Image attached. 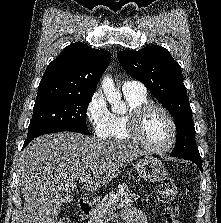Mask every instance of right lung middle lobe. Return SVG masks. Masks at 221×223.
I'll return each mask as SVG.
<instances>
[{
	"label": "right lung middle lobe",
	"mask_w": 221,
	"mask_h": 223,
	"mask_svg": "<svg viewBox=\"0 0 221 223\" xmlns=\"http://www.w3.org/2000/svg\"><path fill=\"white\" fill-rule=\"evenodd\" d=\"M92 95L51 97L36 100L27 139L54 132L89 134L85 115Z\"/></svg>",
	"instance_id": "obj_1"
}]
</instances>
